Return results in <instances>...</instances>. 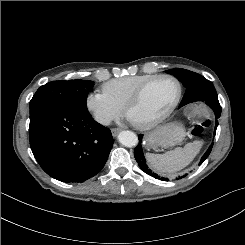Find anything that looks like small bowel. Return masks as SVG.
Returning a JSON list of instances; mask_svg holds the SVG:
<instances>
[{
  "mask_svg": "<svg viewBox=\"0 0 245 245\" xmlns=\"http://www.w3.org/2000/svg\"><path fill=\"white\" fill-rule=\"evenodd\" d=\"M203 104L200 102V101H192V102H189L187 105H186V112L189 114V115H197V114H200L202 111H203Z\"/></svg>",
  "mask_w": 245,
  "mask_h": 245,
  "instance_id": "obj_1",
  "label": "small bowel"
}]
</instances>
